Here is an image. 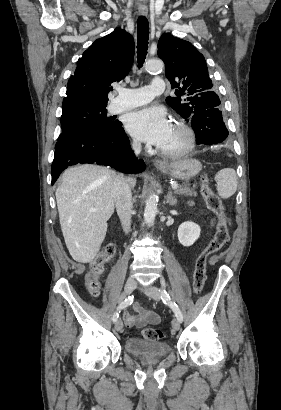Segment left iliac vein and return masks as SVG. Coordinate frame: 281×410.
Returning <instances> with one entry per match:
<instances>
[{"instance_id":"obj_1","label":"left iliac vein","mask_w":281,"mask_h":410,"mask_svg":"<svg viewBox=\"0 0 281 410\" xmlns=\"http://www.w3.org/2000/svg\"><path fill=\"white\" fill-rule=\"evenodd\" d=\"M141 289L145 291L154 300L159 301L161 299V294L155 286H149L148 288H141ZM172 327L176 331L180 329V321L178 318H174L172 320Z\"/></svg>"}]
</instances>
